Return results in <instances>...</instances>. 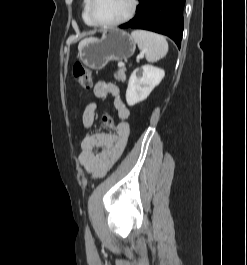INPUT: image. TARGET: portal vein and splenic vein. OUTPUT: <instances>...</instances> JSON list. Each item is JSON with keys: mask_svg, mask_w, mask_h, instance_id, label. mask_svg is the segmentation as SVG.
Here are the masks:
<instances>
[{"mask_svg": "<svg viewBox=\"0 0 247 265\" xmlns=\"http://www.w3.org/2000/svg\"><path fill=\"white\" fill-rule=\"evenodd\" d=\"M143 57H144V54L141 53V54H139V55L137 56V60H140V59H142ZM120 66H124V64L121 63Z\"/></svg>", "mask_w": 247, "mask_h": 265, "instance_id": "obj_1", "label": "portal vein and splenic vein"}]
</instances>
